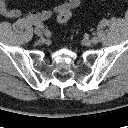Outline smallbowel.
Returning <instances> with one entry per match:
<instances>
[{
    "label": "small bowel",
    "mask_w": 128,
    "mask_h": 128,
    "mask_svg": "<svg viewBox=\"0 0 128 128\" xmlns=\"http://www.w3.org/2000/svg\"><path fill=\"white\" fill-rule=\"evenodd\" d=\"M81 0H65L49 9L40 11H30L26 18L35 25H40L43 21L48 20L54 14H58L63 9H75L79 6ZM0 15L6 18L15 19L21 16V11L17 8H10L6 4V0H0Z\"/></svg>",
    "instance_id": "c3829d8e"
}]
</instances>
